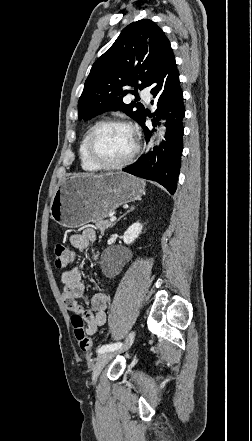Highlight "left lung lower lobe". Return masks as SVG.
<instances>
[{"label":"left lung lower lobe","instance_id":"1","mask_svg":"<svg viewBox=\"0 0 252 441\" xmlns=\"http://www.w3.org/2000/svg\"><path fill=\"white\" fill-rule=\"evenodd\" d=\"M149 87H151L153 97L157 98V110L152 122L156 126V119L165 118L167 120L166 141H163L158 149L154 148V151L143 155L123 171L156 181L171 194H174L181 165L182 120L185 116V108L179 73L170 42H167L161 50ZM145 119L146 114L140 125L144 129L148 141L151 132L147 127H144Z\"/></svg>","mask_w":252,"mask_h":441}]
</instances>
